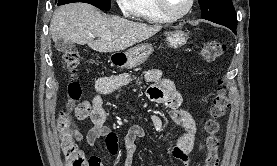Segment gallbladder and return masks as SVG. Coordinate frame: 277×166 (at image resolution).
Returning a JSON list of instances; mask_svg holds the SVG:
<instances>
[{
    "label": "gallbladder",
    "mask_w": 277,
    "mask_h": 166,
    "mask_svg": "<svg viewBox=\"0 0 277 166\" xmlns=\"http://www.w3.org/2000/svg\"><path fill=\"white\" fill-rule=\"evenodd\" d=\"M55 46L58 51L70 52L75 47V44L69 40L59 39L56 41Z\"/></svg>",
    "instance_id": "1"
}]
</instances>
